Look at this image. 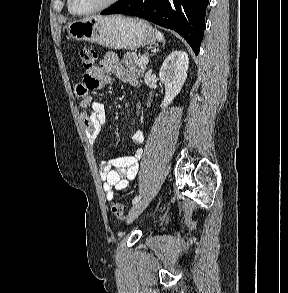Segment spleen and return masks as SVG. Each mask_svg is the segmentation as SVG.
<instances>
[{
  "label": "spleen",
  "mask_w": 288,
  "mask_h": 293,
  "mask_svg": "<svg viewBox=\"0 0 288 293\" xmlns=\"http://www.w3.org/2000/svg\"><path fill=\"white\" fill-rule=\"evenodd\" d=\"M155 35H156V38L159 42H164V35L158 31V30H155Z\"/></svg>",
  "instance_id": "3e777b00"
}]
</instances>
